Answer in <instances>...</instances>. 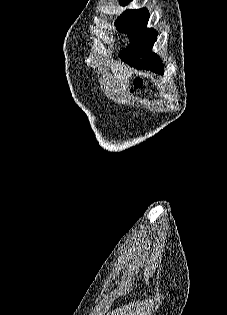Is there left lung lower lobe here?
Instances as JSON below:
<instances>
[{
  "label": "left lung lower lobe",
  "mask_w": 227,
  "mask_h": 315,
  "mask_svg": "<svg viewBox=\"0 0 227 315\" xmlns=\"http://www.w3.org/2000/svg\"><path fill=\"white\" fill-rule=\"evenodd\" d=\"M154 42L145 39L138 45L133 46L128 53V60L125 62L137 69L152 70L162 74L164 72L162 62L157 54L152 53Z\"/></svg>",
  "instance_id": "1"
}]
</instances>
